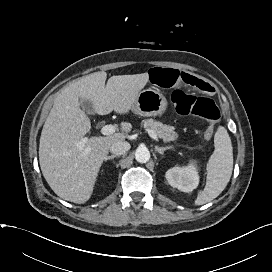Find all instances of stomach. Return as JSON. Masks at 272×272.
<instances>
[{"instance_id": "obj_1", "label": "stomach", "mask_w": 272, "mask_h": 272, "mask_svg": "<svg viewBox=\"0 0 272 272\" xmlns=\"http://www.w3.org/2000/svg\"><path fill=\"white\" fill-rule=\"evenodd\" d=\"M167 100L158 90L149 88L138 93L132 111L140 116H157L167 109Z\"/></svg>"}]
</instances>
